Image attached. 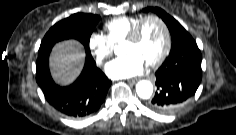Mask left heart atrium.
Segmentation results:
<instances>
[{"label": "left heart atrium", "instance_id": "left-heart-atrium-1", "mask_svg": "<svg viewBox=\"0 0 236 135\" xmlns=\"http://www.w3.org/2000/svg\"><path fill=\"white\" fill-rule=\"evenodd\" d=\"M145 65V61L139 55L130 53L109 62L105 72L113 79L130 78L141 74Z\"/></svg>", "mask_w": 236, "mask_h": 135}]
</instances>
